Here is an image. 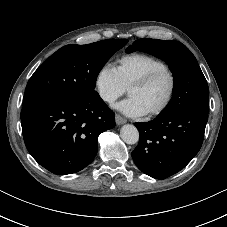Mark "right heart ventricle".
<instances>
[{"mask_svg":"<svg viewBox=\"0 0 227 227\" xmlns=\"http://www.w3.org/2000/svg\"><path fill=\"white\" fill-rule=\"evenodd\" d=\"M163 67H166L163 61L142 53L123 55L114 64V70L126 88L150 71Z\"/></svg>","mask_w":227,"mask_h":227,"instance_id":"obj_1","label":"right heart ventricle"}]
</instances>
